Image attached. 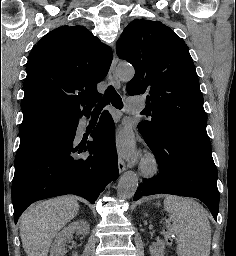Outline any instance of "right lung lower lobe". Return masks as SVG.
I'll list each match as a JSON object with an SVG mask.
<instances>
[{"label": "right lung lower lobe", "mask_w": 236, "mask_h": 256, "mask_svg": "<svg viewBox=\"0 0 236 256\" xmlns=\"http://www.w3.org/2000/svg\"><path fill=\"white\" fill-rule=\"evenodd\" d=\"M89 114L19 147L12 183L15 223L30 204L50 197L75 194L94 204L118 178L115 125L108 112L91 132L93 140L78 144L79 118Z\"/></svg>", "instance_id": "1"}]
</instances>
